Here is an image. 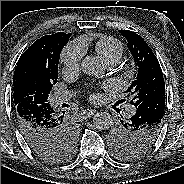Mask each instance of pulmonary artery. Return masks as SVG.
<instances>
[{
  "label": "pulmonary artery",
  "instance_id": "pulmonary-artery-1",
  "mask_svg": "<svg viewBox=\"0 0 184 184\" xmlns=\"http://www.w3.org/2000/svg\"><path fill=\"white\" fill-rule=\"evenodd\" d=\"M109 66H113L115 65L114 63L112 64H108ZM70 94L67 93V92H57L53 95V98H52V103L57 106V105H60L64 102H66L69 98H70ZM136 108L132 105H130L128 108H127V112L128 114H133L135 112Z\"/></svg>",
  "mask_w": 184,
  "mask_h": 184
}]
</instances>
